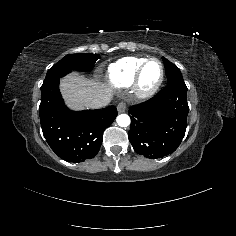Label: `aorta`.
Wrapping results in <instances>:
<instances>
[{
    "mask_svg": "<svg viewBox=\"0 0 236 236\" xmlns=\"http://www.w3.org/2000/svg\"><path fill=\"white\" fill-rule=\"evenodd\" d=\"M116 121L120 127H127L130 125V117L127 114H120L116 118Z\"/></svg>",
    "mask_w": 236,
    "mask_h": 236,
    "instance_id": "1",
    "label": "aorta"
}]
</instances>
